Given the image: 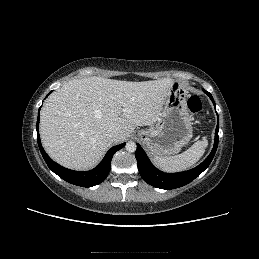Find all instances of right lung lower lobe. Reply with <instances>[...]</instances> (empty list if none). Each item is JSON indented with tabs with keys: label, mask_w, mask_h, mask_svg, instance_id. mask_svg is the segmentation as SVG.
Masks as SVG:
<instances>
[{
	"label": "right lung lower lobe",
	"mask_w": 259,
	"mask_h": 259,
	"mask_svg": "<svg viewBox=\"0 0 259 259\" xmlns=\"http://www.w3.org/2000/svg\"><path fill=\"white\" fill-rule=\"evenodd\" d=\"M36 127H37V141H38L39 149L48 167L63 180L77 186L92 187L104 181L111 169V159L114 153L120 150L125 145V143H122L120 145L114 146L111 149H109V151L104 156L103 160L94 169L90 171H85V172L73 171V170L64 168L59 164H57L56 162L52 161V159L44 151L41 145L40 136H39V115H38Z\"/></svg>",
	"instance_id": "right-lung-lower-lobe-1"
}]
</instances>
